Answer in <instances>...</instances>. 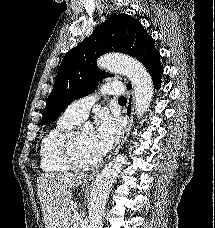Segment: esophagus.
Instances as JSON below:
<instances>
[{"instance_id": "obj_1", "label": "esophagus", "mask_w": 215, "mask_h": 228, "mask_svg": "<svg viewBox=\"0 0 215 228\" xmlns=\"http://www.w3.org/2000/svg\"><path fill=\"white\" fill-rule=\"evenodd\" d=\"M134 110H135V97H134L133 91L130 90L128 93V100H127V105H126V110H125V116L127 118L128 123H127L125 130L122 133L120 141L116 147L115 152L111 156V158H114L118 154L119 150L122 148V146L126 140V137L129 133V131L131 130L132 123H133ZM97 175H98V172H93L90 174V176H94V177Z\"/></svg>"}]
</instances>
